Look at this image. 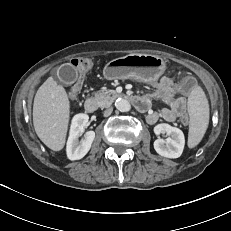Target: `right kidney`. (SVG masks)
<instances>
[{
  "label": "right kidney",
  "mask_w": 231,
  "mask_h": 231,
  "mask_svg": "<svg viewBox=\"0 0 231 231\" xmlns=\"http://www.w3.org/2000/svg\"><path fill=\"white\" fill-rule=\"evenodd\" d=\"M88 119L89 117L87 114H77L72 119L66 147L67 157L70 160L82 159L91 148L95 138L94 131H87L82 139H79L84 133V128L87 125Z\"/></svg>",
  "instance_id": "right-kidney-1"
}]
</instances>
